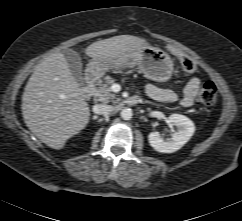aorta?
Listing matches in <instances>:
<instances>
[{"label": "aorta", "instance_id": "obj_1", "mask_svg": "<svg viewBox=\"0 0 242 221\" xmlns=\"http://www.w3.org/2000/svg\"><path fill=\"white\" fill-rule=\"evenodd\" d=\"M120 115H121L122 119L130 120L133 116V112L130 108H124V109H122Z\"/></svg>", "mask_w": 242, "mask_h": 221}]
</instances>
